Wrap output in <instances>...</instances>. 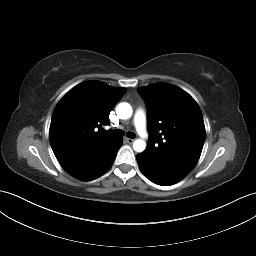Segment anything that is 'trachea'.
I'll use <instances>...</instances> for the list:
<instances>
[{
	"instance_id": "3493384b",
	"label": "trachea",
	"mask_w": 256,
	"mask_h": 256,
	"mask_svg": "<svg viewBox=\"0 0 256 256\" xmlns=\"http://www.w3.org/2000/svg\"><path fill=\"white\" fill-rule=\"evenodd\" d=\"M113 133L115 135H119V136H123L124 135V131L121 130V129H116L115 131H113ZM126 136L129 137V138H135V133L134 132H128L126 134Z\"/></svg>"
}]
</instances>
